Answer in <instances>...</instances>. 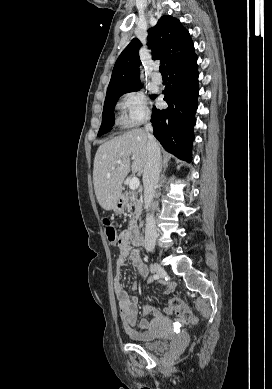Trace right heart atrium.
<instances>
[{"label":"right heart atrium","mask_w":272,"mask_h":389,"mask_svg":"<svg viewBox=\"0 0 272 389\" xmlns=\"http://www.w3.org/2000/svg\"><path fill=\"white\" fill-rule=\"evenodd\" d=\"M121 122L134 127L145 122L150 115L146 96L138 90H131L122 95L118 102Z\"/></svg>","instance_id":"1"}]
</instances>
